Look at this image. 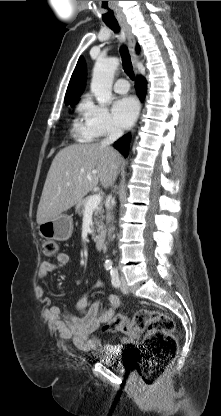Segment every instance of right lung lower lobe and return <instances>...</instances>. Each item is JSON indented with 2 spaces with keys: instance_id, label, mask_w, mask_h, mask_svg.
<instances>
[{
  "instance_id": "obj_1",
  "label": "right lung lower lobe",
  "mask_w": 221,
  "mask_h": 416,
  "mask_svg": "<svg viewBox=\"0 0 221 416\" xmlns=\"http://www.w3.org/2000/svg\"><path fill=\"white\" fill-rule=\"evenodd\" d=\"M136 91L141 100L146 94V82L142 78H138L135 83ZM130 138L126 135L114 143V147L119 150L125 157L128 155Z\"/></svg>"
}]
</instances>
